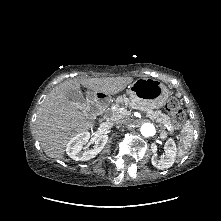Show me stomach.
Returning a JSON list of instances; mask_svg holds the SVG:
<instances>
[{
	"label": "stomach",
	"instance_id": "1",
	"mask_svg": "<svg viewBox=\"0 0 221 221\" xmlns=\"http://www.w3.org/2000/svg\"><path fill=\"white\" fill-rule=\"evenodd\" d=\"M129 99L150 109L163 107L168 99L169 92L159 80L139 78L128 86Z\"/></svg>",
	"mask_w": 221,
	"mask_h": 221
}]
</instances>
